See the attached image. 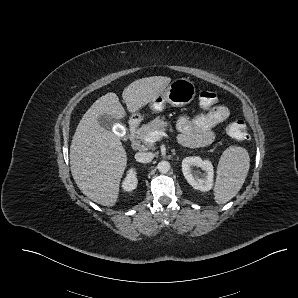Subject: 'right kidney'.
I'll return each instance as SVG.
<instances>
[{"label":"right kidney","instance_id":"ca27d5eb","mask_svg":"<svg viewBox=\"0 0 298 298\" xmlns=\"http://www.w3.org/2000/svg\"><path fill=\"white\" fill-rule=\"evenodd\" d=\"M137 172L135 168H130L127 171V175L125 177V179L122 182V188L124 191H132L134 189H136L137 187Z\"/></svg>","mask_w":298,"mask_h":298}]
</instances>
